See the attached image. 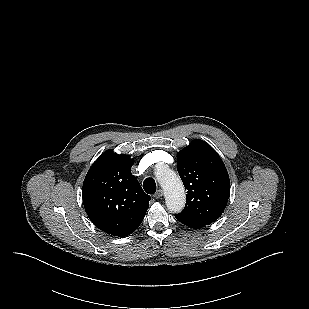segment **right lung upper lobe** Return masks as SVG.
Listing matches in <instances>:
<instances>
[{
    "label": "right lung upper lobe",
    "instance_id": "obj_1",
    "mask_svg": "<svg viewBox=\"0 0 309 309\" xmlns=\"http://www.w3.org/2000/svg\"><path fill=\"white\" fill-rule=\"evenodd\" d=\"M133 163L128 155L105 151L93 163L83 183L88 217L96 227L118 237L136 230L151 199L131 174Z\"/></svg>",
    "mask_w": 309,
    "mask_h": 309
}]
</instances>
